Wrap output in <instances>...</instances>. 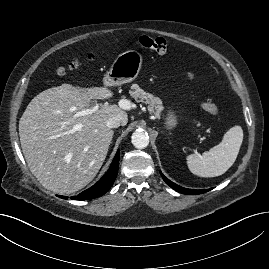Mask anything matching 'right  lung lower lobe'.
Segmentation results:
<instances>
[{"instance_id": "obj_1", "label": "right lung lower lobe", "mask_w": 269, "mask_h": 269, "mask_svg": "<svg viewBox=\"0 0 269 269\" xmlns=\"http://www.w3.org/2000/svg\"><path fill=\"white\" fill-rule=\"evenodd\" d=\"M120 150L117 151L113 162L106 174L92 187L80 193L77 200H90L105 194L113 185L118 173ZM60 198L67 199L68 197L59 196Z\"/></svg>"}]
</instances>
